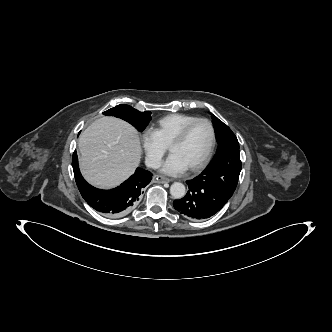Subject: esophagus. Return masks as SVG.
Returning a JSON list of instances; mask_svg holds the SVG:
<instances>
[{"label": "esophagus", "mask_w": 332, "mask_h": 332, "mask_svg": "<svg viewBox=\"0 0 332 332\" xmlns=\"http://www.w3.org/2000/svg\"><path fill=\"white\" fill-rule=\"evenodd\" d=\"M153 181L155 183H165V182H170V179L161 175H155L153 177Z\"/></svg>", "instance_id": "obj_1"}]
</instances>
